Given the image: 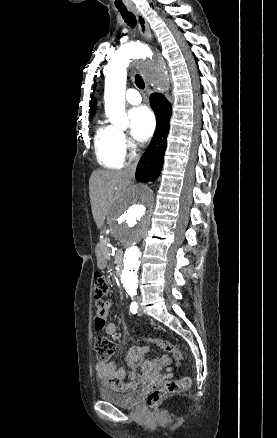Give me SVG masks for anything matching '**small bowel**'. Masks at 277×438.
<instances>
[{"mask_svg":"<svg viewBox=\"0 0 277 438\" xmlns=\"http://www.w3.org/2000/svg\"><path fill=\"white\" fill-rule=\"evenodd\" d=\"M105 331L109 335H115L117 333V325L114 322H109L105 326ZM140 338H144V335H140ZM147 351V347L137 346L128 352L126 362L132 369L128 374V380H125L126 372L124 368L116 362H98L95 369L101 385L116 391L125 392L138 382L143 375L148 374L154 369H164L166 377H172L174 373L172 360L168 356L163 355L155 360L144 361L143 359ZM138 365L140 366L142 374L136 371Z\"/></svg>","mask_w":277,"mask_h":438,"instance_id":"obj_1","label":"small bowel"}]
</instances>
